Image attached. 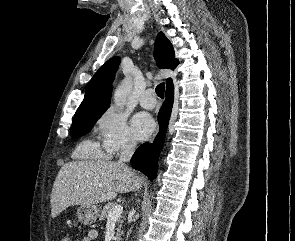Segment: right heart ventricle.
<instances>
[{
    "label": "right heart ventricle",
    "instance_id": "e07e8e85",
    "mask_svg": "<svg viewBox=\"0 0 295 241\" xmlns=\"http://www.w3.org/2000/svg\"><path fill=\"white\" fill-rule=\"evenodd\" d=\"M73 155L78 159H104L107 156L96 143L89 140L81 142Z\"/></svg>",
    "mask_w": 295,
    "mask_h": 241
}]
</instances>
